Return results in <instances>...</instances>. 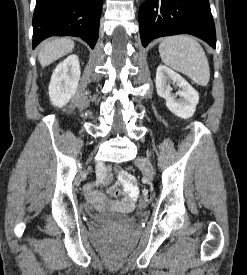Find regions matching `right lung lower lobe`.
Segmentation results:
<instances>
[{
    "mask_svg": "<svg viewBox=\"0 0 247 275\" xmlns=\"http://www.w3.org/2000/svg\"><path fill=\"white\" fill-rule=\"evenodd\" d=\"M103 0H37L33 48L50 36H79L94 48Z\"/></svg>",
    "mask_w": 247,
    "mask_h": 275,
    "instance_id": "right-lung-lower-lobe-1",
    "label": "right lung lower lobe"
}]
</instances>
